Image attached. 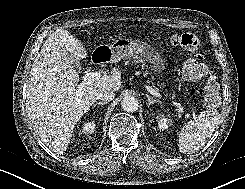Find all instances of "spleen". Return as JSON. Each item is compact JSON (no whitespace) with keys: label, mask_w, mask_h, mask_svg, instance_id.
<instances>
[{"label":"spleen","mask_w":245,"mask_h":189,"mask_svg":"<svg viewBox=\"0 0 245 189\" xmlns=\"http://www.w3.org/2000/svg\"><path fill=\"white\" fill-rule=\"evenodd\" d=\"M220 114L216 109L201 112L194 120L189 121L179 133V150L181 153H193L199 150L213 135Z\"/></svg>","instance_id":"spleen-1"}]
</instances>
